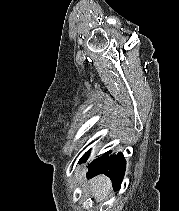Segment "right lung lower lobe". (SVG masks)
<instances>
[{"label": "right lung lower lobe", "mask_w": 179, "mask_h": 211, "mask_svg": "<svg viewBox=\"0 0 179 211\" xmlns=\"http://www.w3.org/2000/svg\"><path fill=\"white\" fill-rule=\"evenodd\" d=\"M109 153L110 151L88 164L87 177L92 178L104 173L110 177L113 189L119 190L126 169V161L121 152L112 156H109ZM87 158L81 160L80 163L85 162Z\"/></svg>", "instance_id": "right-lung-lower-lobe-1"}]
</instances>
